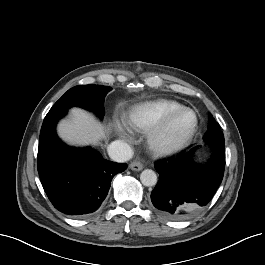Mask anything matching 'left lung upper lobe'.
I'll return each mask as SVG.
<instances>
[{"instance_id":"1","label":"left lung upper lobe","mask_w":265,"mask_h":265,"mask_svg":"<svg viewBox=\"0 0 265 265\" xmlns=\"http://www.w3.org/2000/svg\"><path fill=\"white\" fill-rule=\"evenodd\" d=\"M209 118H210L209 128L208 132L204 137V140L218 139L224 141V135L221 132L220 125L213 120L211 115H209Z\"/></svg>"}]
</instances>
